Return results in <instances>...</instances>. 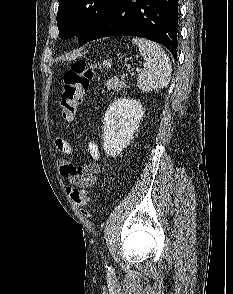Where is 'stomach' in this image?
<instances>
[{
  "instance_id": "stomach-1",
  "label": "stomach",
  "mask_w": 233,
  "mask_h": 294,
  "mask_svg": "<svg viewBox=\"0 0 233 294\" xmlns=\"http://www.w3.org/2000/svg\"><path fill=\"white\" fill-rule=\"evenodd\" d=\"M104 66H110L111 63L110 62H106L105 64H103Z\"/></svg>"
}]
</instances>
